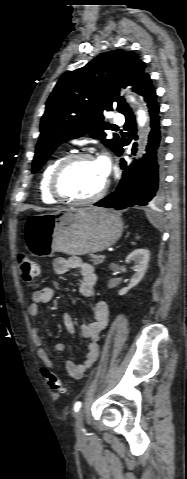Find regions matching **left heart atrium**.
Wrapping results in <instances>:
<instances>
[{"instance_id":"1","label":"left heart atrium","mask_w":187,"mask_h":479,"mask_svg":"<svg viewBox=\"0 0 187 479\" xmlns=\"http://www.w3.org/2000/svg\"><path fill=\"white\" fill-rule=\"evenodd\" d=\"M96 162L101 172L104 174L105 177H107L110 173V168H111L108 157L100 156L98 159H96Z\"/></svg>"}]
</instances>
